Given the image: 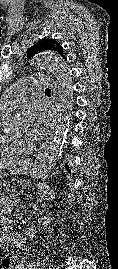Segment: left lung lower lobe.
Wrapping results in <instances>:
<instances>
[{
	"mask_svg": "<svg viewBox=\"0 0 118 269\" xmlns=\"http://www.w3.org/2000/svg\"><path fill=\"white\" fill-rule=\"evenodd\" d=\"M65 165H66V168L68 169V171L70 172L69 166L67 164H65Z\"/></svg>",
	"mask_w": 118,
	"mask_h": 269,
	"instance_id": "obj_1",
	"label": "left lung lower lobe"
}]
</instances>
